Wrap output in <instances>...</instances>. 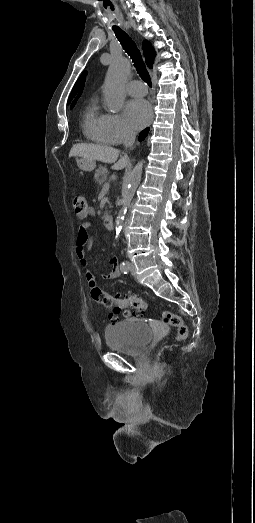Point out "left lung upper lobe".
Here are the masks:
<instances>
[{
    "instance_id": "obj_1",
    "label": "left lung upper lobe",
    "mask_w": 255,
    "mask_h": 523,
    "mask_svg": "<svg viewBox=\"0 0 255 523\" xmlns=\"http://www.w3.org/2000/svg\"><path fill=\"white\" fill-rule=\"evenodd\" d=\"M80 94H81V92L79 93L78 97L80 96ZM76 99H77V98H76ZM76 99H75V101L72 103V105H71V109H72L73 106L75 105V103H76Z\"/></svg>"
}]
</instances>
